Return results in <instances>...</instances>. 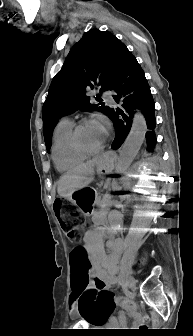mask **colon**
<instances>
[{
	"mask_svg": "<svg viewBox=\"0 0 193 336\" xmlns=\"http://www.w3.org/2000/svg\"><path fill=\"white\" fill-rule=\"evenodd\" d=\"M56 210L59 221L68 237L75 240L77 238V225L81 222L79 212L66 200L57 201ZM70 264L75 279L73 287L75 299L78 301L80 313L87 316L89 314L90 302L94 298L99 296L102 299L108 300L110 298V294L103 288V283L98 279L96 280L95 286L87 290L89 282V263L87 261L86 253L82 247L77 248L72 252ZM124 304L133 311L137 310V306L127 300H124ZM144 320L147 321L148 317L144 316Z\"/></svg>",
	"mask_w": 193,
	"mask_h": 336,
	"instance_id": "obj_1",
	"label": "colon"
}]
</instances>
